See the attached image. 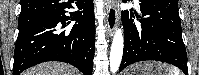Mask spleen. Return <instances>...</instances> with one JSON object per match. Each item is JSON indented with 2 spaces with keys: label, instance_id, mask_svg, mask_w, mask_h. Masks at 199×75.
<instances>
[{
  "label": "spleen",
  "instance_id": "1",
  "mask_svg": "<svg viewBox=\"0 0 199 75\" xmlns=\"http://www.w3.org/2000/svg\"><path fill=\"white\" fill-rule=\"evenodd\" d=\"M165 68H169V72L168 75H181L180 70H178L175 67H168V66H164Z\"/></svg>",
  "mask_w": 199,
  "mask_h": 75
}]
</instances>
